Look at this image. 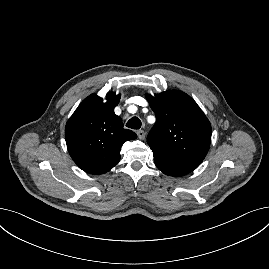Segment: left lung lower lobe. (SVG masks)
Instances as JSON below:
<instances>
[{"label": "left lung lower lobe", "instance_id": "0a47b994", "mask_svg": "<svg viewBox=\"0 0 269 269\" xmlns=\"http://www.w3.org/2000/svg\"><path fill=\"white\" fill-rule=\"evenodd\" d=\"M155 164L164 174L182 176L192 172L199 164L189 162H163L154 158Z\"/></svg>", "mask_w": 269, "mask_h": 269}]
</instances>
